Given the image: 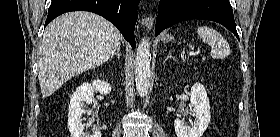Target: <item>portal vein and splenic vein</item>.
<instances>
[{
  "instance_id": "obj_1",
  "label": "portal vein and splenic vein",
  "mask_w": 280,
  "mask_h": 137,
  "mask_svg": "<svg viewBox=\"0 0 280 137\" xmlns=\"http://www.w3.org/2000/svg\"><path fill=\"white\" fill-rule=\"evenodd\" d=\"M199 53H200V51H190L189 56L198 55Z\"/></svg>"
}]
</instances>
